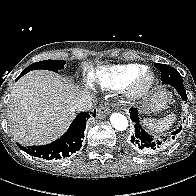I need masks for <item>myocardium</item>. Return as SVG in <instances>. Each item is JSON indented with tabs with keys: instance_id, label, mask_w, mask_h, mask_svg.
I'll use <instances>...</instances> for the list:
<instances>
[{
	"instance_id": "obj_1",
	"label": "myocardium",
	"mask_w": 196,
	"mask_h": 196,
	"mask_svg": "<svg viewBox=\"0 0 196 196\" xmlns=\"http://www.w3.org/2000/svg\"><path fill=\"white\" fill-rule=\"evenodd\" d=\"M156 80V74L145 67L124 87L125 96L130 101H138L144 98L151 91Z\"/></svg>"
}]
</instances>
